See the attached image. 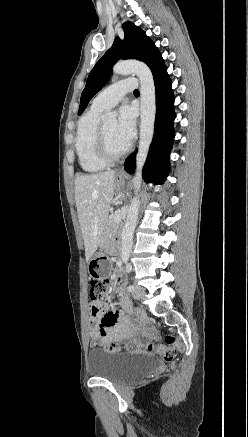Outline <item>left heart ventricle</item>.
<instances>
[{
  "mask_svg": "<svg viewBox=\"0 0 248 437\" xmlns=\"http://www.w3.org/2000/svg\"><path fill=\"white\" fill-rule=\"evenodd\" d=\"M104 132L107 138L109 149L117 153L126 147L127 144L122 142L116 135V121H109L103 124Z\"/></svg>",
  "mask_w": 248,
  "mask_h": 437,
  "instance_id": "b2bd125f",
  "label": "left heart ventricle"
}]
</instances>
